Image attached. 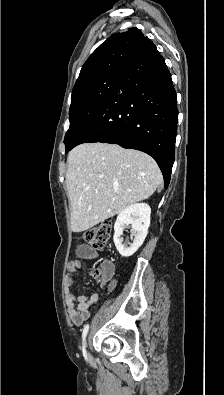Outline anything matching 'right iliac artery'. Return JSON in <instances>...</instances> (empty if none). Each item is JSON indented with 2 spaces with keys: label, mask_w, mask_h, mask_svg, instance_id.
I'll use <instances>...</instances> for the list:
<instances>
[{
  "label": "right iliac artery",
  "mask_w": 224,
  "mask_h": 395,
  "mask_svg": "<svg viewBox=\"0 0 224 395\" xmlns=\"http://www.w3.org/2000/svg\"><path fill=\"white\" fill-rule=\"evenodd\" d=\"M88 330H89V325L86 324V325L84 326V329H83V332H82L83 355H84L85 358H87V354H86V351H85V339H86Z\"/></svg>",
  "instance_id": "82829eb1"
}]
</instances>
